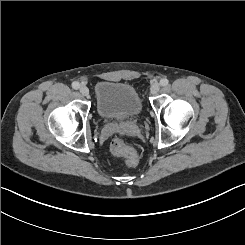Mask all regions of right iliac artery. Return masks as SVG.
I'll return each instance as SVG.
<instances>
[{
    "instance_id": "right-iliac-artery-1",
    "label": "right iliac artery",
    "mask_w": 245,
    "mask_h": 245,
    "mask_svg": "<svg viewBox=\"0 0 245 245\" xmlns=\"http://www.w3.org/2000/svg\"><path fill=\"white\" fill-rule=\"evenodd\" d=\"M79 87H80L79 82L75 81V82L72 83V88L73 89H78Z\"/></svg>"
}]
</instances>
